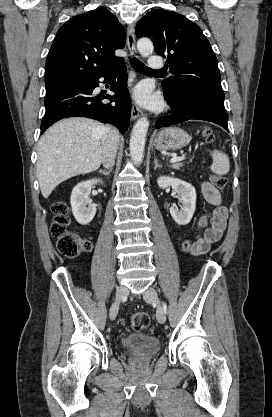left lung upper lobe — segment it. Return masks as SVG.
Listing matches in <instances>:
<instances>
[{
    "instance_id": "left-lung-upper-lobe-1",
    "label": "left lung upper lobe",
    "mask_w": 272,
    "mask_h": 417,
    "mask_svg": "<svg viewBox=\"0 0 272 417\" xmlns=\"http://www.w3.org/2000/svg\"><path fill=\"white\" fill-rule=\"evenodd\" d=\"M136 36L150 37L155 51L167 56L174 76L162 81L164 92L188 91L224 105L217 58L198 25L176 12L158 9L138 22Z\"/></svg>"
}]
</instances>
